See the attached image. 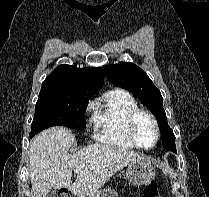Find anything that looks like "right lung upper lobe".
I'll return each instance as SVG.
<instances>
[{
    "mask_svg": "<svg viewBox=\"0 0 209 197\" xmlns=\"http://www.w3.org/2000/svg\"><path fill=\"white\" fill-rule=\"evenodd\" d=\"M103 83L104 72L101 67L77 68L76 66L59 65L42 84L74 85L97 94Z\"/></svg>",
    "mask_w": 209,
    "mask_h": 197,
    "instance_id": "right-lung-upper-lobe-1",
    "label": "right lung upper lobe"
}]
</instances>
